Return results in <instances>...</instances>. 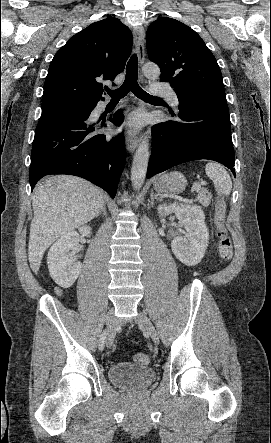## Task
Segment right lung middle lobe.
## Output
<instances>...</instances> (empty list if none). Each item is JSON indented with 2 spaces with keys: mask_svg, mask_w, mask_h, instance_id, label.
I'll return each instance as SVG.
<instances>
[{
  "mask_svg": "<svg viewBox=\"0 0 271 443\" xmlns=\"http://www.w3.org/2000/svg\"><path fill=\"white\" fill-rule=\"evenodd\" d=\"M92 104L90 103H80V102H73V101H58V102H51V103H43L42 104V113L61 109V108H69V107H81V108H89Z\"/></svg>",
  "mask_w": 271,
  "mask_h": 443,
  "instance_id": "dd1d6c3e",
  "label": "right lung middle lobe"
}]
</instances>
